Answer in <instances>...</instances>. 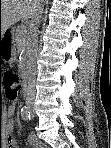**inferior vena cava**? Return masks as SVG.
Returning a JSON list of instances; mask_svg holds the SVG:
<instances>
[{
	"mask_svg": "<svg viewBox=\"0 0 111 148\" xmlns=\"http://www.w3.org/2000/svg\"><path fill=\"white\" fill-rule=\"evenodd\" d=\"M44 0H39V3L31 16L30 21V44H31V71L28 78V86L26 90L27 101H33L35 99V83H36V58L38 54V32L39 26L42 19L43 8L41 7V2Z\"/></svg>",
	"mask_w": 111,
	"mask_h": 148,
	"instance_id": "1",
	"label": "inferior vena cava"
}]
</instances>
